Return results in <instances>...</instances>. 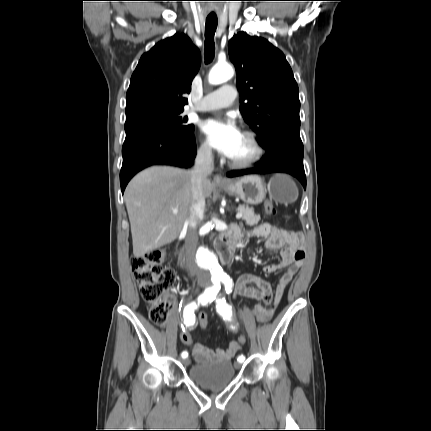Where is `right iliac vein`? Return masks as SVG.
Here are the masks:
<instances>
[{"label": "right iliac vein", "instance_id": "obj_1", "mask_svg": "<svg viewBox=\"0 0 431 431\" xmlns=\"http://www.w3.org/2000/svg\"><path fill=\"white\" fill-rule=\"evenodd\" d=\"M183 364L186 366V365H188L189 364V359H184L183 360Z\"/></svg>", "mask_w": 431, "mask_h": 431}]
</instances>
